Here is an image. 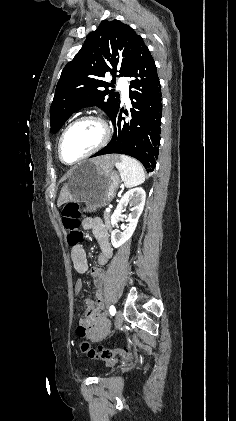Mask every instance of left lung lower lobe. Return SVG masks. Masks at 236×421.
I'll use <instances>...</instances> for the list:
<instances>
[{"mask_svg":"<svg viewBox=\"0 0 236 421\" xmlns=\"http://www.w3.org/2000/svg\"><path fill=\"white\" fill-rule=\"evenodd\" d=\"M126 77L131 78L129 97L130 119L122 117L124 109L112 117L114 134L109 144L91 157L118 153L132 156L153 172L159 154L161 133V86L155 62L145 44L136 52ZM127 114V112H125Z\"/></svg>","mask_w":236,"mask_h":421,"instance_id":"0a47b994","label":"left lung lower lobe"}]
</instances>
